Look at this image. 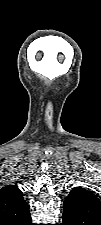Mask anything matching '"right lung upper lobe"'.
I'll list each match as a JSON object with an SVG mask.
<instances>
[{
  "label": "right lung upper lobe",
  "instance_id": "obj_1",
  "mask_svg": "<svg viewBox=\"0 0 101 225\" xmlns=\"http://www.w3.org/2000/svg\"><path fill=\"white\" fill-rule=\"evenodd\" d=\"M31 221L29 206L21 190L8 185L0 190V225H27Z\"/></svg>",
  "mask_w": 101,
  "mask_h": 225
}]
</instances>
